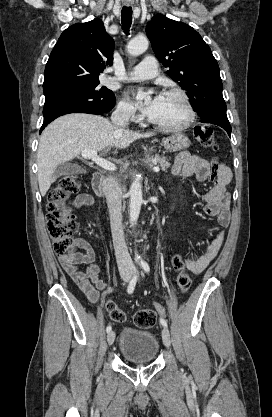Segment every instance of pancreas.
<instances>
[{"label": "pancreas", "mask_w": 272, "mask_h": 417, "mask_svg": "<svg viewBox=\"0 0 272 417\" xmlns=\"http://www.w3.org/2000/svg\"><path fill=\"white\" fill-rule=\"evenodd\" d=\"M149 161L153 164H159L161 166L162 171L167 172V169L170 168V163L166 157H161L159 155H154L149 158Z\"/></svg>", "instance_id": "obj_1"}]
</instances>
